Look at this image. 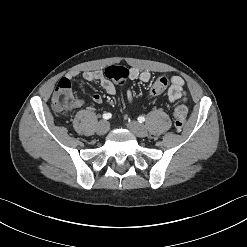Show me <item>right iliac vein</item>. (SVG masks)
<instances>
[{"mask_svg":"<svg viewBox=\"0 0 247 247\" xmlns=\"http://www.w3.org/2000/svg\"><path fill=\"white\" fill-rule=\"evenodd\" d=\"M109 130V123L106 120H101L98 122L96 126V132L99 135H104L108 132Z\"/></svg>","mask_w":247,"mask_h":247,"instance_id":"obj_1","label":"right iliac vein"}]
</instances>
